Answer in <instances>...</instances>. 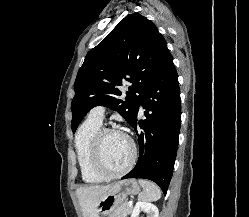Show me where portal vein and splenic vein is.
Wrapping results in <instances>:
<instances>
[{"instance_id":"portal-vein-and-splenic-vein-1","label":"portal vein and splenic vein","mask_w":249,"mask_h":217,"mask_svg":"<svg viewBox=\"0 0 249 217\" xmlns=\"http://www.w3.org/2000/svg\"><path fill=\"white\" fill-rule=\"evenodd\" d=\"M132 205H133V202L129 201L128 206H132Z\"/></svg>"}]
</instances>
